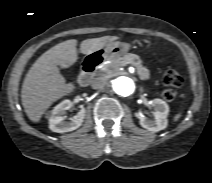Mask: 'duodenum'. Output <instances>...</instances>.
Wrapping results in <instances>:
<instances>
[{
	"label": "duodenum",
	"instance_id": "obj_1",
	"mask_svg": "<svg viewBox=\"0 0 212 183\" xmlns=\"http://www.w3.org/2000/svg\"><path fill=\"white\" fill-rule=\"evenodd\" d=\"M101 61L102 58L96 55H89L84 59L78 79L81 86H86L90 82L94 70L101 63Z\"/></svg>",
	"mask_w": 212,
	"mask_h": 183
}]
</instances>
